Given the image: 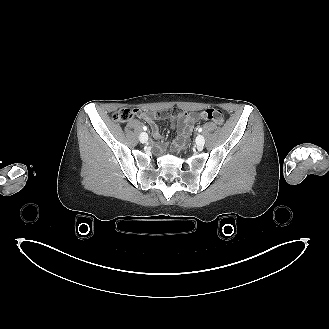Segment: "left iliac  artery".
<instances>
[{
    "mask_svg": "<svg viewBox=\"0 0 329 329\" xmlns=\"http://www.w3.org/2000/svg\"><path fill=\"white\" fill-rule=\"evenodd\" d=\"M197 130H198V132H202V128L201 127H199Z\"/></svg>",
    "mask_w": 329,
    "mask_h": 329,
    "instance_id": "1",
    "label": "left iliac artery"
}]
</instances>
